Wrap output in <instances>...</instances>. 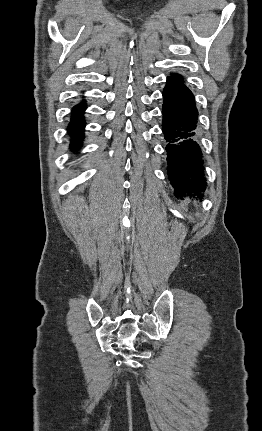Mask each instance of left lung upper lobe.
Listing matches in <instances>:
<instances>
[{
  "label": "left lung upper lobe",
  "mask_w": 262,
  "mask_h": 431,
  "mask_svg": "<svg viewBox=\"0 0 262 431\" xmlns=\"http://www.w3.org/2000/svg\"><path fill=\"white\" fill-rule=\"evenodd\" d=\"M172 78L177 79V80H179V81H181V82H182V78H181V76H180V75H178V74H172Z\"/></svg>",
  "instance_id": "left-lung-upper-lobe-1"
}]
</instances>
